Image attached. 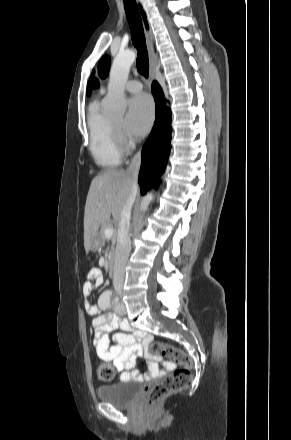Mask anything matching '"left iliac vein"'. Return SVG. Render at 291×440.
Masks as SVG:
<instances>
[{
	"label": "left iliac vein",
	"mask_w": 291,
	"mask_h": 440,
	"mask_svg": "<svg viewBox=\"0 0 291 440\" xmlns=\"http://www.w3.org/2000/svg\"><path fill=\"white\" fill-rule=\"evenodd\" d=\"M115 312H116V314L117 315H119V316H121V317H123V316H126V307H125V305H120V306H117L116 308H115Z\"/></svg>",
	"instance_id": "obj_1"
}]
</instances>
